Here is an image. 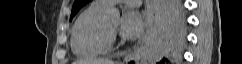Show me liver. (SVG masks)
<instances>
[{"label":"liver","instance_id":"liver-1","mask_svg":"<svg viewBox=\"0 0 242 64\" xmlns=\"http://www.w3.org/2000/svg\"><path fill=\"white\" fill-rule=\"evenodd\" d=\"M73 64H115L113 61L108 59H87L75 61Z\"/></svg>","mask_w":242,"mask_h":64}]
</instances>
